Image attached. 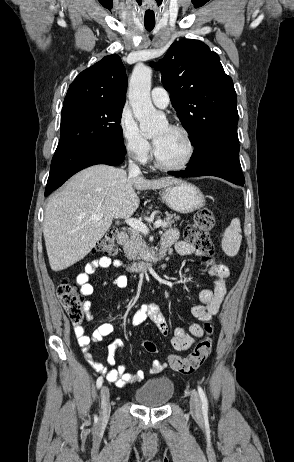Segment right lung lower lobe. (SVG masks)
Here are the masks:
<instances>
[{
  "label": "right lung lower lobe",
  "mask_w": 294,
  "mask_h": 462,
  "mask_svg": "<svg viewBox=\"0 0 294 462\" xmlns=\"http://www.w3.org/2000/svg\"><path fill=\"white\" fill-rule=\"evenodd\" d=\"M126 148L119 142L74 144L55 151L51 162L45 196L60 187L76 172L95 165H118L123 162Z\"/></svg>",
  "instance_id": "1"
}]
</instances>
